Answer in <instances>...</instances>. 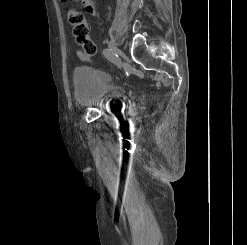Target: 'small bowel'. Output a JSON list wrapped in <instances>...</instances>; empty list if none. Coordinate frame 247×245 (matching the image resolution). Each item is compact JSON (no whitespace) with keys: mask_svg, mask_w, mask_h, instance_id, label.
<instances>
[{"mask_svg":"<svg viewBox=\"0 0 247 245\" xmlns=\"http://www.w3.org/2000/svg\"><path fill=\"white\" fill-rule=\"evenodd\" d=\"M75 1H80L82 3V5H84L86 12L88 14H90L91 16L95 15V9L91 3V0H88V1L75 0ZM76 55L83 61H87V62L92 61V57L90 55L86 54L85 52H82L81 50H77Z\"/></svg>","mask_w":247,"mask_h":245,"instance_id":"1","label":"small bowel"}]
</instances>
